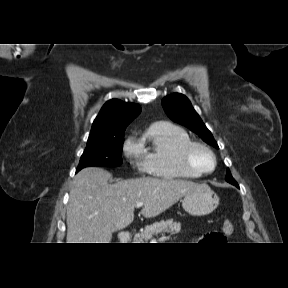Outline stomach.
Listing matches in <instances>:
<instances>
[{
  "instance_id": "stomach-1",
  "label": "stomach",
  "mask_w": 288,
  "mask_h": 288,
  "mask_svg": "<svg viewBox=\"0 0 288 288\" xmlns=\"http://www.w3.org/2000/svg\"><path fill=\"white\" fill-rule=\"evenodd\" d=\"M218 204V195L206 184L198 185L182 200L184 210L193 216L207 215L214 211Z\"/></svg>"
}]
</instances>
